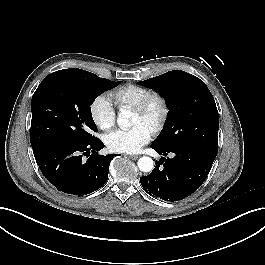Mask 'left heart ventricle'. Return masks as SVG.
Instances as JSON below:
<instances>
[{"instance_id": "1", "label": "left heart ventricle", "mask_w": 265, "mask_h": 265, "mask_svg": "<svg viewBox=\"0 0 265 265\" xmlns=\"http://www.w3.org/2000/svg\"><path fill=\"white\" fill-rule=\"evenodd\" d=\"M156 112H157V107H154L151 110V116H154L156 114ZM138 124H143V125L147 126L148 128H150L148 120L144 119L139 114L133 112L132 125L135 126V125H138Z\"/></svg>"}]
</instances>
